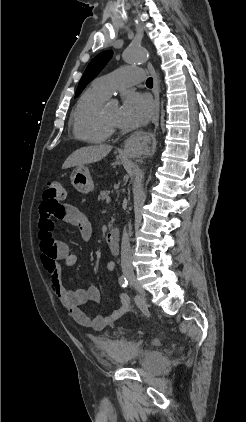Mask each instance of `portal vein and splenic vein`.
<instances>
[{
	"instance_id": "portal-vein-and-splenic-vein-1",
	"label": "portal vein and splenic vein",
	"mask_w": 246,
	"mask_h": 422,
	"mask_svg": "<svg viewBox=\"0 0 246 422\" xmlns=\"http://www.w3.org/2000/svg\"><path fill=\"white\" fill-rule=\"evenodd\" d=\"M110 201H111L110 197H107L106 198V203L108 204V203H110Z\"/></svg>"
}]
</instances>
